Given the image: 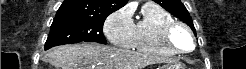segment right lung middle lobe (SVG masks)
Masks as SVG:
<instances>
[{"label": "right lung middle lobe", "instance_id": "right-lung-middle-lobe-1", "mask_svg": "<svg viewBox=\"0 0 246 69\" xmlns=\"http://www.w3.org/2000/svg\"><path fill=\"white\" fill-rule=\"evenodd\" d=\"M105 19H54L45 43V50L57 45L79 42L107 44L103 34V23Z\"/></svg>", "mask_w": 246, "mask_h": 69}]
</instances>
